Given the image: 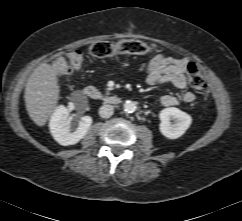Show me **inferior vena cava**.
<instances>
[{
  "instance_id": "inferior-vena-cava-1",
  "label": "inferior vena cava",
  "mask_w": 242,
  "mask_h": 221,
  "mask_svg": "<svg viewBox=\"0 0 242 221\" xmlns=\"http://www.w3.org/2000/svg\"><path fill=\"white\" fill-rule=\"evenodd\" d=\"M113 113H114V108L112 105H109V104H104L99 109V115L102 118H109L113 115Z\"/></svg>"
}]
</instances>
